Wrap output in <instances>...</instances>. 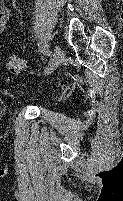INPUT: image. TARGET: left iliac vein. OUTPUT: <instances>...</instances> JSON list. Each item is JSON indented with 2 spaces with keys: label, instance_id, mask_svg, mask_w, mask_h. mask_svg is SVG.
<instances>
[{
  "label": "left iliac vein",
  "instance_id": "4c4485c4",
  "mask_svg": "<svg viewBox=\"0 0 123 201\" xmlns=\"http://www.w3.org/2000/svg\"><path fill=\"white\" fill-rule=\"evenodd\" d=\"M65 60V54L60 46L56 45L54 47V55L51 61L50 67L47 70V74H50L54 69H56Z\"/></svg>",
  "mask_w": 123,
  "mask_h": 201
}]
</instances>
